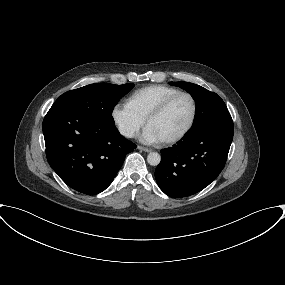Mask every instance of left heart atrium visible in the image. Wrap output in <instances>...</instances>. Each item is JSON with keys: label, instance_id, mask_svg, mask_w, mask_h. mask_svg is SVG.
I'll return each instance as SVG.
<instances>
[{"label": "left heart atrium", "instance_id": "39dd6f15", "mask_svg": "<svg viewBox=\"0 0 285 285\" xmlns=\"http://www.w3.org/2000/svg\"><path fill=\"white\" fill-rule=\"evenodd\" d=\"M141 141L146 144H157L162 142L158 134L149 126L145 128L141 135Z\"/></svg>", "mask_w": 285, "mask_h": 285}]
</instances>
